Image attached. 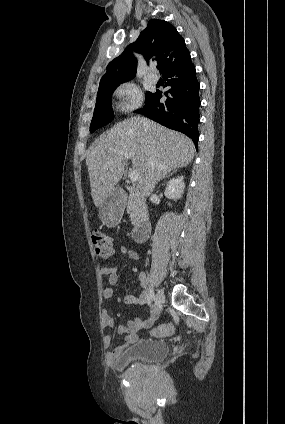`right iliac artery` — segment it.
Wrapping results in <instances>:
<instances>
[{"mask_svg":"<svg viewBox=\"0 0 285 424\" xmlns=\"http://www.w3.org/2000/svg\"><path fill=\"white\" fill-rule=\"evenodd\" d=\"M144 277L146 278V276H145V275H144ZM147 284H148V280L146 279V286H147ZM153 301H155V302H156V300H155V295H154L153 290H152L151 288H149V299H148V304H149V305H151V303H152Z\"/></svg>","mask_w":285,"mask_h":424,"instance_id":"1","label":"right iliac artery"}]
</instances>
